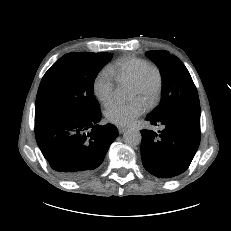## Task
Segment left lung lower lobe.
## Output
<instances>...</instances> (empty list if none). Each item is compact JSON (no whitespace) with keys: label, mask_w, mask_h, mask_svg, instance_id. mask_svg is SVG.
<instances>
[{"label":"left lung lower lobe","mask_w":231,"mask_h":231,"mask_svg":"<svg viewBox=\"0 0 231 231\" xmlns=\"http://www.w3.org/2000/svg\"><path fill=\"white\" fill-rule=\"evenodd\" d=\"M163 125L158 133L141 130L144 168L158 178H172L187 170L200 144V112L188 111L169 117L146 118Z\"/></svg>","instance_id":"0a47b994"}]
</instances>
